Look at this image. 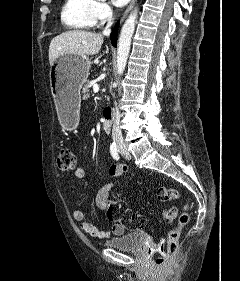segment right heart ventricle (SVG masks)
Segmentation results:
<instances>
[{"label": "right heart ventricle", "mask_w": 240, "mask_h": 281, "mask_svg": "<svg viewBox=\"0 0 240 281\" xmlns=\"http://www.w3.org/2000/svg\"><path fill=\"white\" fill-rule=\"evenodd\" d=\"M95 0H65L61 21L69 30H85L96 24Z\"/></svg>", "instance_id": "1"}]
</instances>
